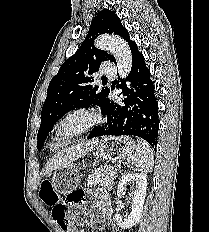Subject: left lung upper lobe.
<instances>
[{
  "label": "left lung upper lobe",
  "mask_w": 209,
  "mask_h": 232,
  "mask_svg": "<svg viewBox=\"0 0 209 232\" xmlns=\"http://www.w3.org/2000/svg\"><path fill=\"white\" fill-rule=\"evenodd\" d=\"M105 33L121 36L129 46L133 43L120 18L113 11L105 9L96 15L77 52L62 64L49 84L37 134L38 149L42 148L53 125L69 111L97 105L104 112L110 90L107 87L99 89L94 84L92 75L98 71L102 61L111 60L116 63L113 55L94 46L97 36Z\"/></svg>",
  "instance_id": "obj_1"
}]
</instances>
